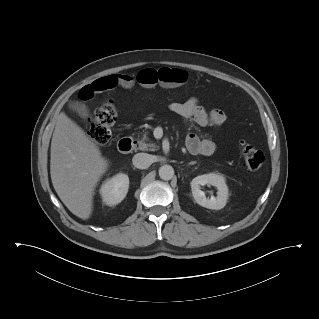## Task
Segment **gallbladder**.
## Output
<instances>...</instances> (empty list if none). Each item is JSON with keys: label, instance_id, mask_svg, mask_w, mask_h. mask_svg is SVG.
I'll return each instance as SVG.
<instances>
[{"label": "gallbladder", "instance_id": "1", "mask_svg": "<svg viewBox=\"0 0 319 319\" xmlns=\"http://www.w3.org/2000/svg\"><path fill=\"white\" fill-rule=\"evenodd\" d=\"M69 106L72 110L78 112L80 114V116H82L84 118L89 116V111L84 104L71 102Z\"/></svg>", "mask_w": 319, "mask_h": 319}]
</instances>
